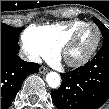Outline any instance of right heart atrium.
Listing matches in <instances>:
<instances>
[{
	"mask_svg": "<svg viewBox=\"0 0 109 109\" xmlns=\"http://www.w3.org/2000/svg\"><path fill=\"white\" fill-rule=\"evenodd\" d=\"M22 49L32 61H39L43 58H52L54 48L44 39L27 36L25 33L21 36Z\"/></svg>",
	"mask_w": 109,
	"mask_h": 109,
	"instance_id": "1",
	"label": "right heart atrium"
}]
</instances>
